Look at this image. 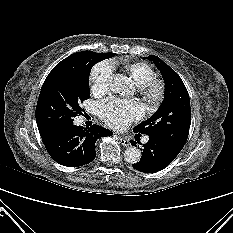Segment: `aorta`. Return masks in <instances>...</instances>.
Returning <instances> with one entry per match:
<instances>
[{
  "mask_svg": "<svg viewBox=\"0 0 233 233\" xmlns=\"http://www.w3.org/2000/svg\"><path fill=\"white\" fill-rule=\"evenodd\" d=\"M111 88L115 93L130 94L133 89V83L127 76L116 74L112 77ZM124 158L126 162L135 164L140 161L141 151L137 147L130 146L124 151Z\"/></svg>",
  "mask_w": 233,
  "mask_h": 233,
  "instance_id": "1",
  "label": "aorta"
}]
</instances>
